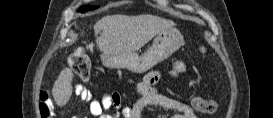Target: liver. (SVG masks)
I'll use <instances>...</instances> for the list:
<instances>
[{"instance_id": "1", "label": "liver", "mask_w": 273, "mask_h": 118, "mask_svg": "<svg viewBox=\"0 0 273 118\" xmlns=\"http://www.w3.org/2000/svg\"><path fill=\"white\" fill-rule=\"evenodd\" d=\"M175 26L170 20L158 16L141 14L127 16L121 14L107 15L95 25L97 46L99 50L108 54L135 52L147 44L162 30ZM73 73L70 68L60 72L52 88L53 98L58 106L65 105L72 94Z\"/></svg>"}]
</instances>
